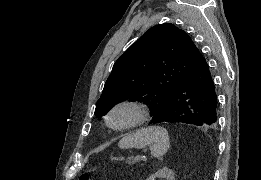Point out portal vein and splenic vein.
<instances>
[{"instance_id":"18ae733b","label":"portal vein and splenic vein","mask_w":261,"mask_h":180,"mask_svg":"<svg viewBox=\"0 0 261 180\" xmlns=\"http://www.w3.org/2000/svg\"><path fill=\"white\" fill-rule=\"evenodd\" d=\"M135 160L136 161H141L142 160V154L141 153H136L135 154Z\"/></svg>"}]
</instances>
